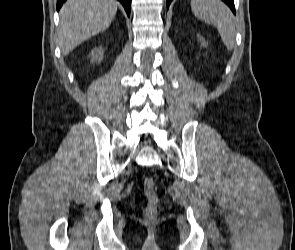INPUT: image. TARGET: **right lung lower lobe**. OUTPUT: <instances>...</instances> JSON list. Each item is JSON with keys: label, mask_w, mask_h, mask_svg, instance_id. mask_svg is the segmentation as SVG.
<instances>
[{"label": "right lung lower lobe", "mask_w": 295, "mask_h": 250, "mask_svg": "<svg viewBox=\"0 0 295 250\" xmlns=\"http://www.w3.org/2000/svg\"><path fill=\"white\" fill-rule=\"evenodd\" d=\"M65 1L66 0H57V11L61 8L62 4ZM118 1L122 3V5L124 6L126 10L127 15L130 16L131 0H118Z\"/></svg>", "instance_id": "98d812e1"}]
</instances>
